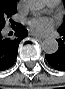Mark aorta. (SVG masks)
Returning <instances> with one entry per match:
<instances>
[{
    "instance_id": "obj_1",
    "label": "aorta",
    "mask_w": 65,
    "mask_h": 89,
    "mask_svg": "<svg viewBox=\"0 0 65 89\" xmlns=\"http://www.w3.org/2000/svg\"><path fill=\"white\" fill-rule=\"evenodd\" d=\"M28 6L32 11H41L45 7L44 0H30ZM58 42L55 38H46L42 42V49L47 54H54L58 50Z\"/></svg>"
}]
</instances>
